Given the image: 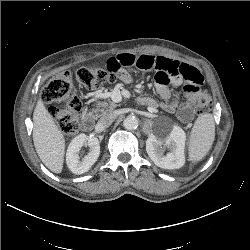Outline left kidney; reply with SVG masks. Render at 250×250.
<instances>
[{
  "mask_svg": "<svg viewBox=\"0 0 250 250\" xmlns=\"http://www.w3.org/2000/svg\"><path fill=\"white\" fill-rule=\"evenodd\" d=\"M186 134L174 125L165 137L151 135L146 141V151L150 159L160 168L178 169L185 163ZM168 150L167 153L165 151Z\"/></svg>",
  "mask_w": 250,
  "mask_h": 250,
  "instance_id": "1",
  "label": "left kidney"
}]
</instances>
